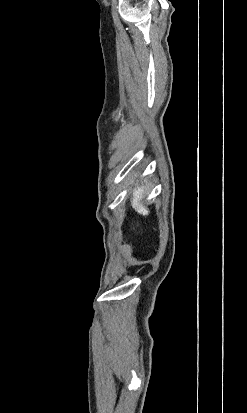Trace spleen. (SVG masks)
Here are the masks:
<instances>
[{
    "mask_svg": "<svg viewBox=\"0 0 247 413\" xmlns=\"http://www.w3.org/2000/svg\"><path fill=\"white\" fill-rule=\"evenodd\" d=\"M143 188H140V186H136V188H134L132 194V198H131V204L133 209H135V211H137V213H141V215H145L146 211L144 209V207H142V204H140L142 198H143Z\"/></svg>",
    "mask_w": 247,
    "mask_h": 413,
    "instance_id": "3e777b00",
    "label": "spleen"
}]
</instances>
